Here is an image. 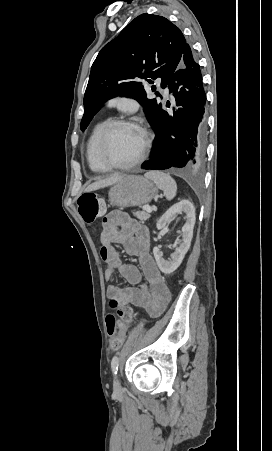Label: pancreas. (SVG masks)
Segmentation results:
<instances>
[{"label": "pancreas", "instance_id": "obj_1", "mask_svg": "<svg viewBox=\"0 0 272 451\" xmlns=\"http://www.w3.org/2000/svg\"><path fill=\"white\" fill-rule=\"evenodd\" d=\"M132 214H134V216H136V218H138V220H149L150 218V214H147V212H132Z\"/></svg>", "mask_w": 272, "mask_h": 451}]
</instances>
